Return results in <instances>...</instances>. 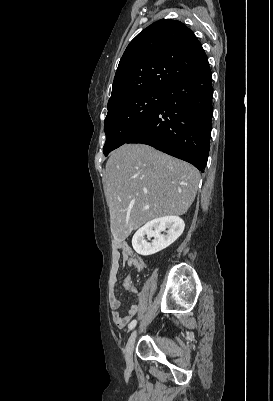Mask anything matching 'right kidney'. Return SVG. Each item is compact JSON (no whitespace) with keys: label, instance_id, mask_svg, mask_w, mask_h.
Instances as JSON below:
<instances>
[{"label":"right kidney","instance_id":"right-kidney-1","mask_svg":"<svg viewBox=\"0 0 273 401\" xmlns=\"http://www.w3.org/2000/svg\"><path fill=\"white\" fill-rule=\"evenodd\" d=\"M184 227L185 223L180 217L153 219V221H149L144 227L136 231L132 239V247L138 255H144V257L154 255V253H159V251L174 243L182 235ZM162 231H166L167 235H161ZM145 235H147V239L154 237L152 243H147L146 239H144Z\"/></svg>","mask_w":273,"mask_h":401}]
</instances>
